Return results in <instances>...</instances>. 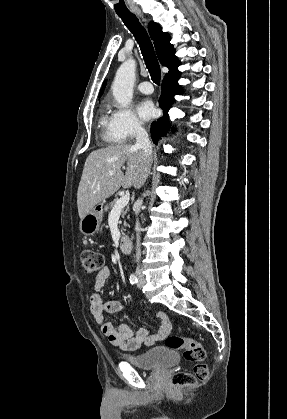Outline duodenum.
I'll use <instances>...</instances> for the list:
<instances>
[{
  "label": "duodenum",
  "instance_id": "obj_1",
  "mask_svg": "<svg viewBox=\"0 0 287 419\" xmlns=\"http://www.w3.org/2000/svg\"><path fill=\"white\" fill-rule=\"evenodd\" d=\"M120 250L125 254H130L132 251V241L127 235H123L119 240Z\"/></svg>",
  "mask_w": 287,
  "mask_h": 419
}]
</instances>
